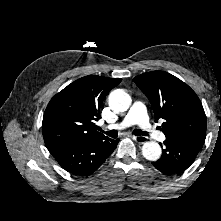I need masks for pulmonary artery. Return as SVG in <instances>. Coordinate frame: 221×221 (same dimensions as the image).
Masks as SVG:
<instances>
[{
    "mask_svg": "<svg viewBox=\"0 0 221 221\" xmlns=\"http://www.w3.org/2000/svg\"><path fill=\"white\" fill-rule=\"evenodd\" d=\"M139 125L146 133H148L152 138L158 140H164L165 136L163 133L159 132L155 126L150 122L148 115L146 113L145 105L136 101L130 111L127 113L125 118L120 122L112 126L114 129L127 128L132 125Z\"/></svg>",
    "mask_w": 221,
    "mask_h": 221,
    "instance_id": "obj_1",
    "label": "pulmonary artery"
}]
</instances>
